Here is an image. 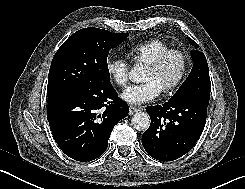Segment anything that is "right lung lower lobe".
<instances>
[{
	"instance_id": "obj_1",
	"label": "right lung lower lobe",
	"mask_w": 245,
	"mask_h": 189,
	"mask_svg": "<svg viewBox=\"0 0 245 189\" xmlns=\"http://www.w3.org/2000/svg\"><path fill=\"white\" fill-rule=\"evenodd\" d=\"M128 112L110 81H103L87 90L48 98L47 118L61 150L86 162L105 152L114 126Z\"/></svg>"
}]
</instances>
